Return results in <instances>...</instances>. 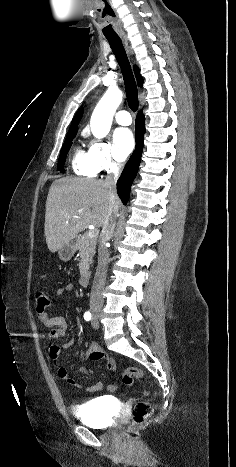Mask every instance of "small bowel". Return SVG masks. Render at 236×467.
<instances>
[{
	"instance_id": "c3829d8e",
	"label": "small bowel",
	"mask_w": 236,
	"mask_h": 467,
	"mask_svg": "<svg viewBox=\"0 0 236 467\" xmlns=\"http://www.w3.org/2000/svg\"><path fill=\"white\" fill-rule=\"evenodd\" d=\"M73 290H74L73 284L68 283L65 286L59 288L56 291V295L58 297H63L66 293H70ZM39 320L41 321L43 326L48 330L47 340L49 343V356H50V359L53 365L57 367L58 376L61 379L67 381L72 386L76 388H81V384L77 380L73 379L70 376L68 370L61 365V361H60L61 348L53 344V342L56 339L61 338L66 334V331L68 328L66 318L64 316H52L44 312V313H39ZM73 344H74V340L70 339L66 343L63 344L62 348L63 349L70 348ZM95 353H100L103 355L102 359H98L95 361L103 360L110 372L112 373L116 372L117 370L116 362L112 358L106 356L101 351L100 347L97 345H93L89 350L85 351L81 355V359L83 361L94 360L92 359V355ZM80 372L84 373V369L83 368L80 369ZM117 388H118L117 384L112 383L108 386V391L115 392ZM101 389H102V383L97 382L87 387L85 390L86 392H89V393H95V392H99Z\"/></svg>"
}]
</instances>
